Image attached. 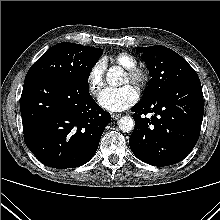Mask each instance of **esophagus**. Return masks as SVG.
Masks as SVG:
<instances>
[{
  "mask_svg": "<svg viewBox=\"0 0 220 220\" xmlns=\"http://www.w3.org/2000/svg\"><path fill=\"white\" fill-rule=\"evenodd\" d=\"M121 117V114H118V113H113L112 114V118L114 119V120H117V119H119Z\"/></svg>",
  "mask_w": 220,
  "mask_h": 220,
  "instance_id": "esophagus-1",
  "label": "esophagus"
}]
</instances>
